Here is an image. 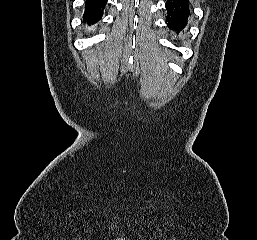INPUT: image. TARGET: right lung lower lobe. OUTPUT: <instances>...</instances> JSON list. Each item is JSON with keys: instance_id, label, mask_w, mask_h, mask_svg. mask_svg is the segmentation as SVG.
I'll list each match as a JSON object with an SVG mask.
<instances>
[{"instance_id": "right-lung-lower-lobe-1", "label": "right lung lower lobe", "mask_w": 257, "mask_h": 240, "mask_svg": "<svg viewBox=\"0 0 257 240\" xmlns=\"http://www.w3.org/2000/svg\"><path fill=\"white\" fill-rule=\"evenodd\" d=\"M108 0H86L83 21L92 25L101 20L103 10Z\"/></svg>"}]
</instances>
